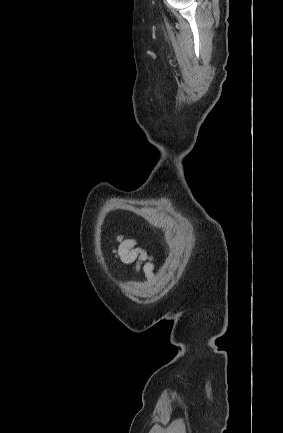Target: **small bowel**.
Instances as JSON below:
<instances>
[{
	"instance_id": "small-bowel-1",
	"label": "small bowel",
	"mask_w": 283,
	"mask_h": 433,
	"mask_svg": "<svg viewBox=\"0 0 283 433\" xmlns=\"http://www.w3.org/2000/svg\"><path fill=\"white\" fill-rule=\"evenodd\" d=\"M116 242L117 248L114 252L117 259L124 264H134L137 272L151 280L154 270L151 256L138 246L135 239L119 237Z\"/></svg>"
}]
</instances>
